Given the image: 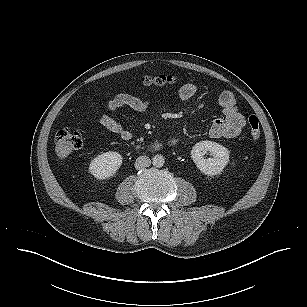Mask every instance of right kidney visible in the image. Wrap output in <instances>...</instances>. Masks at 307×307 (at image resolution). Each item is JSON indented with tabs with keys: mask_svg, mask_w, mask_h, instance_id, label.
Returning a JSON list of instances; mask_svg holds the SVG:
<instances>
[{
	"mask_svg": "<svg viewBox=\"0 0 307 307\" xmlns=\"http://www.w3.org/2000/svg\"><path fill=\"white\" fill-rule=\"evenodd\" d=\"M122 159V156L114 151L102 153L91 161L89 172L100 180L109 178L121 167Z\"/></svg>",
	"mask_w": 307,
	"mask_h": 307,
	"instance_id": "obj_1",
	"label": "right kidney"
}]
</instances>
